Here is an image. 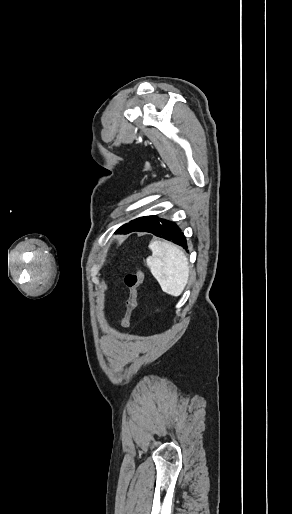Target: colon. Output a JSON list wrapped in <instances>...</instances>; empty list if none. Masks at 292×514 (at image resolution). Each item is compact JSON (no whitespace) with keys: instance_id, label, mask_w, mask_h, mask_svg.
<instances>
[{"instance_id":"1","label":"colon","mask_w":292,"mask_h":514,"mask_svg":"<svg viewBox=\"0 0 292 514\" xmlns=\"http://www.w3.org/2000/svg\"><path fill=\"white\" fill-rule=\"evenodd\" d=\"M143 279L142 271L139 269H130L125 275V285L129 295L126 300V312L121 320V327L129 328L132 322L134 310L137 304L138 289Z\"/></svg>"}]
</instances>
